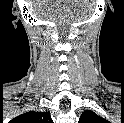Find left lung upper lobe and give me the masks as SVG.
I'll return each mask as SVG.
<instances>
[{
    "instance_id": "left-lung-upper-lobe-1",
    "label": "left lung upper lobe",
    "mask_w": 124,
    "mask_h": 123,
    "mask_svg": "<svg viewBox=\"0 0 124 123\" xmlns=\"http://www.w3.org/2000/svg\"><path fill=\"white\" fill-rule=\"evenodd\" d=\"M105 121L91 110L84 111L79 119V123H105Z\"/></svg>"
}]
</instances>
